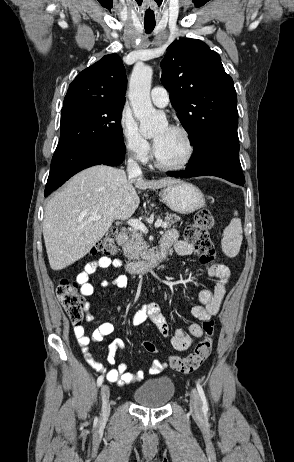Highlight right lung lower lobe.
<instances>
[{
    "mask_svg": "<svg viewBox=\"0 0 294 462\" xmlns=\"http://www.w3.org/2000/svg\"><path fill=\"white\" fill-rule=\"evenodd\" d=\"M125 157V145L118 141L75 143L56 149L45 188V196L77 172L98 164L117 166Z\"/></svg>",
    "mask_w": 294,
    "mask_h": 462,
    "instance_id": "98d812e1",
    "label": "right lung lower lobe"
}]
</instances>
